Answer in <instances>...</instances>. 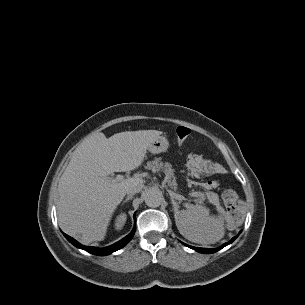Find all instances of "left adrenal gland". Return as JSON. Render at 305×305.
<instances>
[{
	"label": "left adrenal gland",
	"instance_id": "a2214340",
	"mask_svg": "<svg viewBox=\"0 0 305 305\" xmlns=\"http://www.w3.org/2000/svg\"><path fill=\"white\" fill-rule=\"evenodd\" d=\"M171 201H172V204H173V209H174V211H176L177 204H176V202L174 201L173 198H171Z\"/></svg>",
	"mask_w": 305,
	"mask_h": 305
}]
</instances>
